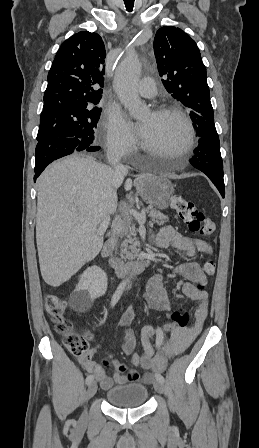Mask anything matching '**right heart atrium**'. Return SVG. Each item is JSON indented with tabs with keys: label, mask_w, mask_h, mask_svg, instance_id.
I'll return each mask as SVG.
<instances>
[{
	"label": "right heart atrium",
	"mask_w": 259,
	"mask_h": 448,
	"mask_svg": "<svg viewBox=\"0 0 259 448\" xmlns=\"http://www.w3.org/2000/svg\"><path fill=\"white\" fill-rule=\"evenodd\" d=\"M101 144L114 157H128L139 147V138L122 113L112 110L103 123Z\"/></svg>",
	"instance_id": "d8ad5b80"
}]
</instances>
